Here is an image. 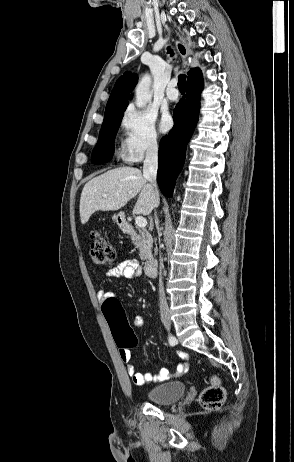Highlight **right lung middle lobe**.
<instances>
[{
  "mask_svg": "<svg viewBox=\"0 0 294 462\" xmlns=\"http://www.w3.org/2000/svg\"><path fill=\"white\" fill-rule=\"evenodd\" d=\"M123 113L104 118L98 142L92 153V162L102 164L111 159V153L114 151L113 137L118 131Z\"/></svg>",
  "mask_w": 294,
  "mask_h": 462,
  "instance_id": "1",
  "label": "right lung middle lobe"
}]
</instances>
